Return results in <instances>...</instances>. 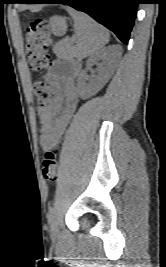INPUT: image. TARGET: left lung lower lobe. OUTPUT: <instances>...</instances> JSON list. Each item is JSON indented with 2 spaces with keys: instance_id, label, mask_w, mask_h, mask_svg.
I'll use <instances>...</instances> for the list:
<instances>
[{
  "instance_id": "1",
  "label": "left lung lower lobe",
  "mask_w": 166,
  "mask_h": 267,
  "mask_svg": "<svg viewBox=\"0 0 166 267\" xmlns=\"http://www.w3.org/2000/svg\"><path fill=\"white\" fill-rule=\"evenodd\" d=\"M21 3H62L83 11L128 44L139 0H23Z\"/></svg>"
}]
</instances>
